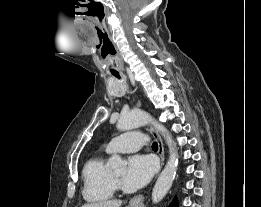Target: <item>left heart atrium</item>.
<instances>
[{
	"label": "left heart atrium",
	"instance_id": "1",
	"mask_svg": "<svg viewBox=\"0 0 261 207\" xmlns=\"http://www.w3.org/2000/svg\"><path fill=\"white\" fill-rule=\"evenodd\" d=\"M156 170V162L149 155H134L128 161V167L123 177L124 183L131 188L145 185Z\"/></svg>",
	"mask_w": 261,
	"mask_h": 207
}]
</instances>
